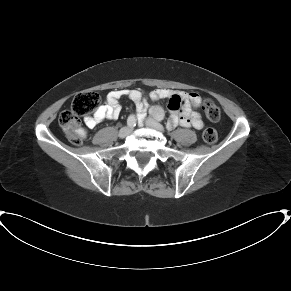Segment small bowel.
Instances as JSON below:
<instances>
[{
	"label": "small bowel",
	"instance_id": "c3829d8e",
	"mask_svg": "<svg viewBox=\"0 0 291 291\" xmlns=\"http://www.w3.org/2000/svg\"><path fill=\"white\" fill-rule=\"evenodd\" d=\"M128 97L134 102L139 120L145 117L148 100L160 101L168 100L170 116L167 121L169 130L178 125L192 127L200 130L204 127V122L197 112L201 104V97L195 92L176 93L167 89H156L148 95H144L139 90H114L111 91L105 102L99 106L93 116L86 117L84 128H81V135L86 136L89 129L95 128L105 119H116L120 114V99ZM171 104L175 108L170 107Z\"/></svg>",
	"mask_w": 291,
	"mask_h": 291
}]
</instances>
